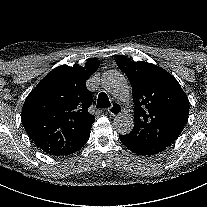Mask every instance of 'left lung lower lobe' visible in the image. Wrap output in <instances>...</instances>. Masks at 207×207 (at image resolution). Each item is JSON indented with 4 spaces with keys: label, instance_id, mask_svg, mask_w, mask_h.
I'll list each match as a JSON object with an SVG mask.
<instances>
[{
    "label": "left lung lower lobe",
    "instance_id": "1",
    "mask_svg": "<svg viewBox=\"0 0 207 207\" xmlns=\"http://www.w3.org/2000/svg\"><path fill=\"white\" fill-rule=\"evenodd\" d=\"M119 138L127 148H129L131 151H133L134 153H137L139 155L151 156V155H155L160 152V151H157L154 149L147 148L143 145L135 144V143L131 142V140L126 135H119Z\"/></svg>",
    "mask_w": 207,
    "mask_h": 207
}]
</instances>
